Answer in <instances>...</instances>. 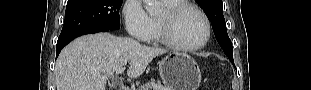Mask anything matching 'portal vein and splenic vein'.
<instances>
[{"label":"portal vein and splenic vein","instance_id":"1","mask_svg":"<svg viewBox=\"0 0 311 90\" xmlns=\"http://www.w3.org/2000/svg\"><path fill=\"white\" fill-rule=\"evenodd\" d=\"M124 70H125L124 67L119 68V69L116 70V74H117V75H120V74H122V73L124 72Z\"/></svg>","mask_w":311,"mask_h":90}]
</instances>
